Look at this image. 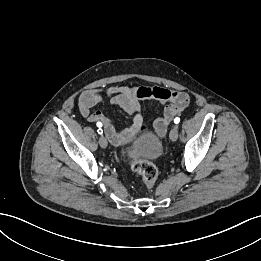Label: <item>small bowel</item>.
<instances>
[{
	"label": "small bowel",
	"instance_id": "c3829d8e",
	"mask_svg": "<svg viewBox=\"0 0 261 261\" xmlns=\"http://www.w3.org/2000/svg\"><path fill=\"white\" fill-rule=\"evenodd\" d=\"M106 101L112 106L121 107L131 115L133 117L132 125L122 131H117L113 120L106 117L101 111L91 110ZM189 102V95L180 90L159 86H115L83 92L78 100V109L88 122H100L109 140L113 144H119L145 129L142 116V108L145 105H157L161 108L162 114L154 119L153 127L156 134L163 137L169 123L186 109Z\"/></svg>",
	"mask_w": 261,
	"mask_h": 261
}]
</instances>
